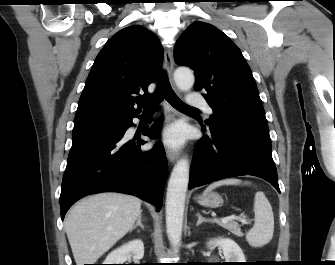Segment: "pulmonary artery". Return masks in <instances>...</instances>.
Instances as JSON below:
<instances>
[{
  "label": "pulmonary artery",
  "mask_w": 335,
  "mask_h": 265,
  "mask_svg": "<svg viewBox=\"0 0 335 265\" xmlns=\"http://www.w3.org/2000/svg\"><path fill=\"white\" fill-rule=\"evenodd\" d=\"M187 104L193 108H201L208 114H212L213 112L205 99L196 92L189 94Z\"/></svg>",
  "instance_id": "obj_1"
}]
</instances>
